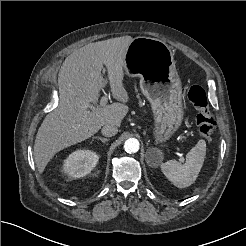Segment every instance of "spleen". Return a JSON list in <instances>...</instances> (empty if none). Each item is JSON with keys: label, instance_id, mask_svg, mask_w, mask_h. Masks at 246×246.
<instances>
[{"label": "spleen", "instance_id": "spleen-1", "mask_svg": "<svg viewBox=\"0 0 246 246\" xmlns=\"http://www.w3.org/2000/svg\"><path fill=\"white\" fill-rule=\"evenodd\" d=\"M206 155V142L199 140L186 155V162L179 163L169 160L160 165L163 174L178 188H186L192 185L204 163Z\"/></svg>", "mask_w": 246, "mask_h": 246}]
</instances>
